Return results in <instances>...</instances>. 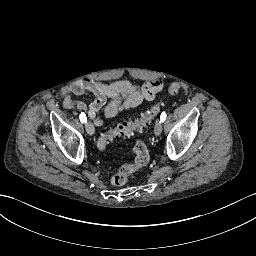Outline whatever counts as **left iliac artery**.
Wrapping results in <instances>:
<instances>
[{
  "label": "left iliac artery",
  "mask_w": 256,
  "mask_h": 256,
  "mask_svg": "<svg viewBox=\"0 0 256 256\" xmlns=\"http://www.w3.org/2000/svg\"><path fill=\"white\" fill-rule=\"evenodd\" d=\"M166 117H167L166 113H165V112H162V114H161V116H160V121H161V122H164V121L166 120Z\"/></svg>",
  "instance_id": "obj_1"
}]
</instances>
